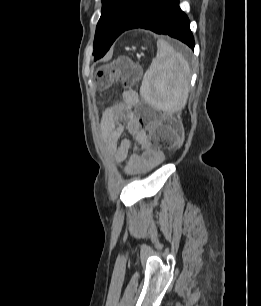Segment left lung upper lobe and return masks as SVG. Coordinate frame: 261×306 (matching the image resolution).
Returning a JSON list of instances; mask_svg holds the SVG:
<instances>
[{"mask_svg": "<svg viewBox=\"0 0 261 306\" xmlns=\"http://www.w3.org/2000/svg\"><path fill=\"white\" fill-rule=\"evenodd\" d=\"M145 0H102L101 17L96 27L94 52L99 59L109 50L116 38L124 32Z\"/></svg>", "mask_w": 261, "mask_h": 306, "instance_id": "1", "label": "left lung upper lobe"}]
</instances>
